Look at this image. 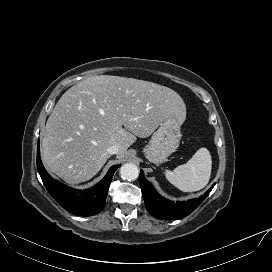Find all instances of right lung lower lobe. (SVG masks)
Returning a JSON list of instances; mask_svg holds the SVG:
<instances>
[{"instance_id": "1", "label": "right lung lower lobe", "mask_w": 272, "mask_h": 272, "mask_svg": "<svg viewBox=\"0 0 272 272\" xmlns=\"http://www.w3.org/2000/svg\"><path fill=\"white\" fill-rule=\"evenodd\" d=\"M119 167L112 166L106 176L91 189L76 190L54 180L46 172L40 159L39 144L37 147V169L46 189L65 210L79 216H93L104 208L112 177Z\"/></svg>"}]
</instances>
